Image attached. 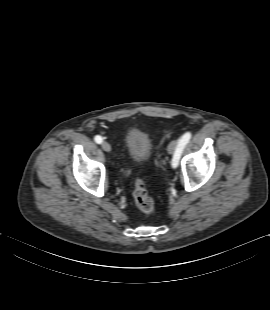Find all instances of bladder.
Segmentation results:
<instances>
[{"label": "bladder", "instance_id": "1", "mask_svg": "<svg viewBox=\"0 0 270 310\" xmlns=\"http://www.w3.org/2000/svg\"><path fill=\"white\" fill-rule=\"evenodd\" d=\"M125 145L129 157L136 163L147 162L152 153V142L149 135L138 128H131L125 136Z\"/></svg>", "mask_w": 270, "mask_h": 310}]
</instances>
